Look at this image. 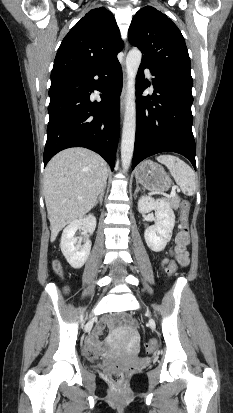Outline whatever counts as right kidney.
<instances>
[{
  "mask_svg": "<svg viewBox=\"0 0 233 413\" xmlns=\"http://www.w3.org/2000/svg\"><path fill=\"white\" fill-rule=\"evenodd\" d=\"M84 229L86 232V241L83 246L76 245L77 238L74 237L78 229ZM96 228V218L94 215H88L72 221L64 230L61 236V251L67 262L75 269L81 268L87 261L90 250L91 241L89 235L93 234Z\"/></svg>",
  "mask_w": 233,
  "mask_h": 413,
  "instance_id": "1",
  "label": "right kidney"
}]
</instances>
